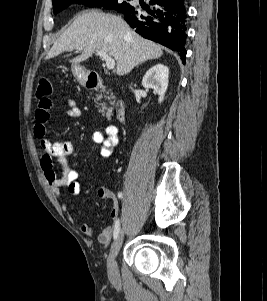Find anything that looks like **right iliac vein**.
Listing matches in <instances>:
<instances>
[{
  "label": "right iliac vein",
  "mask_w": 267,
  "mask_h": 301,
  "mask_svg": "<svg viewBox=\"0 0 267 301\" xmlns=\"http://www.w3.org/2000/svg\"><path fill=\"white\" fill-rule=\"evenodd\" d=\"M124 240V232L123 230L120 231L117 238L115 239L114 243L111 246V250L107 259V271L109 277L114 280H119V270L118 265L116 262V257L121 249L122 243Z\"/></svg>",
  "instance_id": "obj_1"
}]
</instances>
